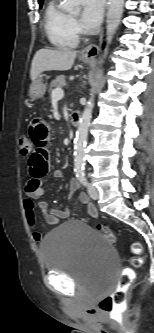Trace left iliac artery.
I'll return each mask as SVG.
<instances>
[{"instance_id":"44dca946","label":"left iliac artery","mask_w":154,"mask_h":333,"mask_svg":"<svg viewBox=\"0 0 154 333\" xmlns=\"http://www.w3.org/2000/svg\"><path fill=\"white\" fill-rule=\"evenodd\" d=\"M77 179L83 184L87 185L86 177H85V169L83 167H77L75 169Z\"/></svg>"}]
</instances>
